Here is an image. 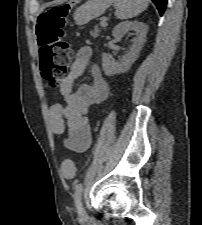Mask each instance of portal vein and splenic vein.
<instances>
[{
    "label": "portal vein and splenic vein",
    "mask_w": 202,
    "mask_h": 225,
    "mask_svg": "<svg viewBox=\"0 0 202 225\" xmlns=\"http://www.w3.org/2000/svg\"><path fill=\"white\" fill-rule=\"evenodd\" d=\"M100 25L102 27L107 26V17L102 18V21L100 22Z\"/></svg>",
    "instance_id": "portal-vein-and-splenic-vein-1"
}]
</instances>
